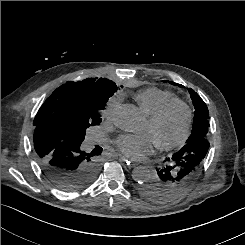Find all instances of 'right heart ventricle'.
<instances>
[{"instance_id":"obj_1","label":"right heart ventricle","mask_w":245,"mask_h":245,"mask_svg":"<svg viewBox=\"0 0 245 245\" xmlns=\"http://www.w3.org/2000/svg\"><path fill=\"white\" fill-rule=\"evenodd\" d=\"M135 100L147 115H152L167 103L177 100V96L170 91L152 87L137 93Z\"/></svg>"}]
</instances>
